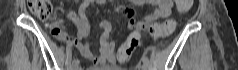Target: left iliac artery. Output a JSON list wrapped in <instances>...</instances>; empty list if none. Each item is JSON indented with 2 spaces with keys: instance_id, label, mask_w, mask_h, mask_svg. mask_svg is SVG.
Instances as JSON below:
<instances>
[{
  "instance_id": "left-iliac-artery-1",
  "label": "left iliac artery",
  "mask_w": 238,
  "mask_h": 70,
  "mask_svg": "<svg viewBox=\"0 0 238 70\" xmlns=\"http://www.w3.org/2000/svg\"><path fill=\"white\" fill-rule=\"evenodd\" d=\"M142 62L145 63V64H149V59L147 56L143 55L142 56Z\"/></svg>"
}]
</instances>
